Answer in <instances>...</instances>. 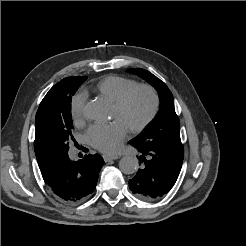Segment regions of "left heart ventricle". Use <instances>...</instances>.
Wrapping results in <instances>:
<instances>
[{
    "label": "left heart ventricle",
    "instance_id": "left-heart-ventricle-1",
    "mask_svg": "<svg viewBox=\"0 0 246 246\" xmlns=\"http://www.w3.org/2000/svg\"><path fill=\"white\" fill-rule=\"evenodd\" d=\"M152 99L146 91L137 92L123 110L113 108V118L123 122L128 128L141 122L150 112Z\"/></svg>",
    "mask_w": 246,
    "mask_h": 246
}]
</instances>
